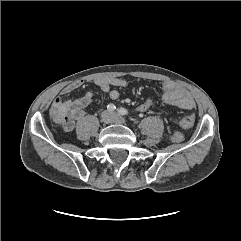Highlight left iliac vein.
<instances>
[{
    "label": "left iliac vein",
    "mask_w": 241,
    "mask_h": 241,
    "mask_svg": "<svg viewBox=\"0 0 241 241\" xmlns=\"http://www.w3.org/2000/svg\"><path fill=\"white\" fill-rule=\"evenodd\" d=\"M113 122L118 124H126V120L118 114L113 115Z\"/></svg>",
    "instance_id": "left-iliac-vein-1"
}]
</instances>
